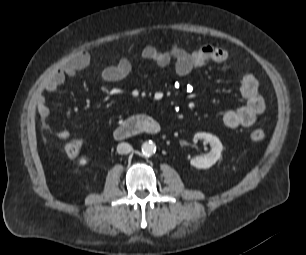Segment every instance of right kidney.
<instances>
[{
    "mask_svg": "<svg viewBox=\"0 0 306 255\" xmlns=\"http://www.w3.org/2000/svg\"><path fill=\"white\" fill-rule=\"evenodd\" d=\"M78 163L79 165L84 166L88 163V160L86 158H81Z\"/></svg>",
    "mask_w": 306,
    "mask_h": 255,
    "instance_id": "obj_1",
    "label": "right kidney"
}]
</instances>
